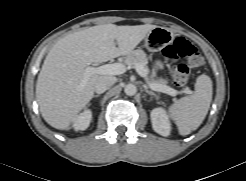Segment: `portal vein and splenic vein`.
<instances>
[{
  "instance_id": "1",
  "label": "portal vein and splenic vein",
  "mask_w": 246,
  "mask_h": 181,
  "mask_svg": "<svg viewBox=\"0 0 246 181\" xmlns=\"http://www.w3.org/2000/svg\"><path fill=\"white\" fill-rule=\"evenodd\" d=\"M133 68L136 70V72L141 77H143L146 80V82L148 83L150 88L154 91L163 92V93L169 94L171 96H176L178 94H183V93L184 94H192V91L189 88H186L182 91H177L173 88H170L169 86H164V85L150 82L148 79L147 72H146L145 68L140 64H135L133 66ZM125 72H126V67H125V65H123L121 63L106 64V65H102L99 67L87 66L85 68V71H84V80L82 83L84 84L85 81L87 80V78H89L90 76H92L94 74L119 75V74H123Z\"/></svg>"
}]
</instances>
